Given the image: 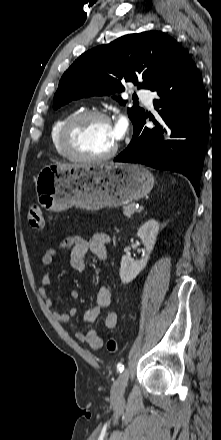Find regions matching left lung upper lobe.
<instances>
[{
    "mask_svg": "<svg viewBox=\"0 0 221 440\" xmlns=\"http://www.w3.org/2000/svg\"><path fill=\"white\" fill-rule=\"evenodd\" d=\"M182 49L170 36L146 31L122 36L82 54L63 74L54 96L55 109L71 100L124 91L120 80L152 89L170 70ZM122 103V100L119 99ZM134 129L144 110L128 108Z\"/></svg>",
    "mask_w": 221,
    "mask_h": 440,
    "instance_id": "1",
    "label": "left lung upper lobe"
}]
</instances>
